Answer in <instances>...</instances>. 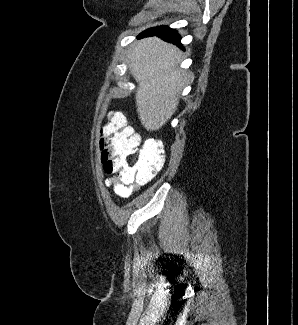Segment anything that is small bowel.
Instances as JSON below:
<instances>
[{
    "instance_id": "c3829d8e",
    "label": "small bowel",
    "mask_w": 298,
    "mask_h": 325,
    "mask_svg": "<svg viewBox=\"0 0 298 325\" xmlns=\"http://www.w3.org/2000/svg\"><path fill=\"white\" fill-rule=\"evenodd\" d=\"M104 182L105 185L111 187L114 193L120 198H127L139 189V185L137 184L130 186L122 185L114 177L106 178Z\"/></svg>"
}]
</instances>
